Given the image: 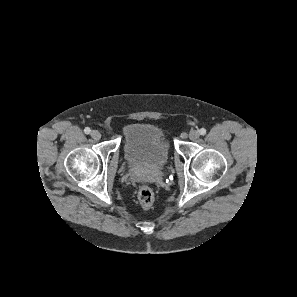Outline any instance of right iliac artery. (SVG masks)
Masks as SVG:
<instances>
[{
    "label": "right iliac artery",
    "instance_id": "82829eb1",
    "mask_svg": "<svg viewBox=\"0 0 297 297\" xmlns=\"http://www.w3.org/2000/svg\"><path fill=\"white\" fill-rule=\"evenodd\" d=\"M84 132H85V134H89V133L91 132V130H90L89 127H86V128L84 129Z\"/></svg>",
    "mask_w": 297,
    "mask_h": 297
}]
</instances>
